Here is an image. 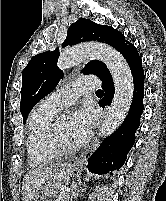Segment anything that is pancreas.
Wrapping results in <instances>:
<instances>
[{
    "mask_svg": "<svg viewBox=\"0 0 166 201\" xmlns=\"http://www.w3.org/2000/svg\"><path fill=\"white\" fill-rule=\"evenodd\" d=\"M56 201H68V200H67V197H63V198H60L59 200H56Z\"/></svg>",
    "mask_w": 166,
    "mask_h": 201,
    "instance_id": "1",
    "label": "pancreas"
}]
</instances>
